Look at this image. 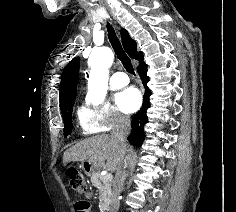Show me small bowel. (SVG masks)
I'll list each match as a JSON object with an SVG mask.
<instances>
[{
  "label": "small bowel",
  "mask_w": 236,
  "mask_h": 212,
  "mask_svg": "<svg viewBox=\"0 0 236 212\" xmlns=\"http://www.w3.org/2000/svg\"><path fill=\"white\" fill-rule=\"evenodd\" d=\"M75 203L79 204L75 205V212H90L89 199H76Z\"/></svg>",
  "instance_id": "small-bowel-1"
}]
</instances>
